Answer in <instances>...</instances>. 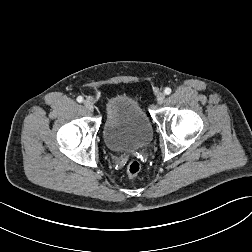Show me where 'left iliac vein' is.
Returning <instances> with one entry per match:
<instances>
[{"mask_svg": "<svg viewBox=\"0 0 252 252\" xmlns=\"http://www.w3.org/2000/svg\"><path fill=\"white\" fill-rule=\"evenodd\" d=\"M164 99H165V94L162 92L158 93V95H157L158 104H162L164 102Z\"/></svg>", "mask_w": 252, "mask_h": 252, "instance_id": "left-iliac-vein-1", "label": "left iliac vein"}]
</instances>
